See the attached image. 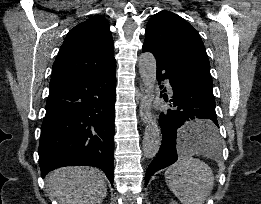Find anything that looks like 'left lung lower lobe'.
<instances>
[{
  "mask_svg": "<svg viewBox=\"0 0 261 204\" xmlns=\"http://www.w3.org/2000/svg\"><path fill=\"white\" fill-rule=\"evenodd\" d=\"M156 61L157 80L159 84L164 78L170 80L173 97L169 100L166 94L163 95L168 109L161 113L159 118L162 145L147 169L145 186L156 171L177 160V152L181 147L192 148L200 141H215L219 127L213 86L179 69L169 67L158 59ZM191 120L201 122L191 131L182 133L181 126Z\"/></svg>",
  "mask_w": 261,
  "mask_h": 204,
  "instance_id": "1",
  "label": "left lung lower lobe"
}]
</instances>
